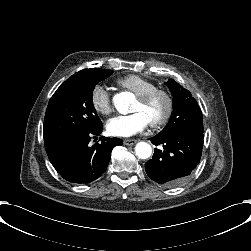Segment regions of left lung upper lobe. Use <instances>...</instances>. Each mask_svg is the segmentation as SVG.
<instances>
[{
  "instance_id": "left-lung-upper-lobe-1",
  "label": "left lung upper lobe",
  "mask_w": 251,
  "mask_h": 251,
  "mask_svg": "<svg viewBox=\"0 0 251 251\" xmlns=\"http://www.w3.org/2000/svg\"><path fill=\"white\" fill-rule=\"evenodd\" d=\"M166 85L173 94L174 110L167 126L157 135L159 137H166L187 130L203 132L202 112L195 98L192 97L188 90L184 89L173 79H169Z\"/></svg>"
}]
</instances>
